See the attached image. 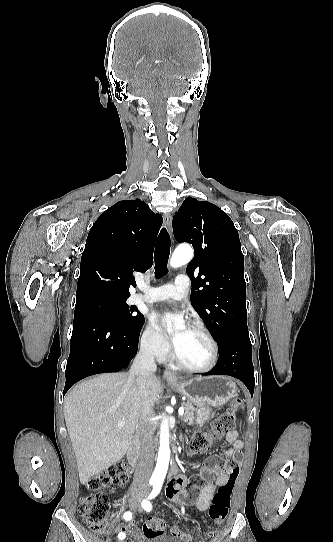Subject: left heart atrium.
<instances>
[{
	"instance_id": "1",
	"label": "left heart atrium",
	"mask_w": 333,
	"mask_h": 542,
	"mask_svg": "<svg viewBox=\"0 0 333 542\" xmlns=\"http://www.w3.org/2000/svg\"><path fill=\"white\" fill-rule=\"evenodd\" d=\"M171 341H172V343H174V342H175V340H174L173 338H171Z\"/></svg>"
}]
</instances>
